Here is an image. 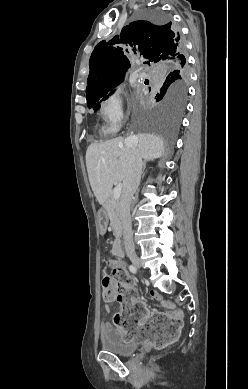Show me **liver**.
Listing matches in <instances>:
<instances>
[{
    "label": "liver",
    "instance_id": "obj_1",
    "mask_svg": "<svg viewBox=\"0 0 248 389\" xmlns=\"http://www.w3.org/2000/svg\"><path fill=\"white\" fill-rule=\"evenodd\" d=\"M141 157L152 161L164 154V141L154 134L131 136ZM123 137L92 143L86 151V167L91 188L99 204L109 197L113 184L124 181L129 163V153Z\"/></svg>",
    "mask_w": 248,
    "mask_h": 389
}]
</instances>
